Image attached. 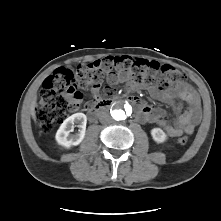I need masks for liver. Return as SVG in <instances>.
<instances>
[{"instance_id":"1","label":"liver","mask_w":221,"mask_h":221,"mask_svg":"<svg viewBox=\"0 0 221 221\" xmlns=\"http://www.w3.org/2000/svg\"><path fill=\"white\" fill-rule=\"evenodd\" d=\"M35 107H36V99H34L31 104V116L34 121H36Z\"/></svg>"}]
</instances>
